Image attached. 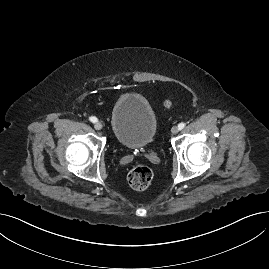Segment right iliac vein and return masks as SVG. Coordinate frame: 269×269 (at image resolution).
Returning <instances> with one entry per match:
<instances>
[{
	"mask_svg": "<svg viewBox=\"0 0 269 269\" xmlns=\"http://www.w3.org/2000/svg\"><path fill=\"white\" fill-rule=\"evenodd\" d=\"M94 127H95L96 130H101L103 126H102V124L100 122H96Z\"/></svg>",
	"mask_w": 269,
	"mask_h": 269,
	"instance_id": "obj_1",
	"label": "right iliac vein"
}]
</instances>
